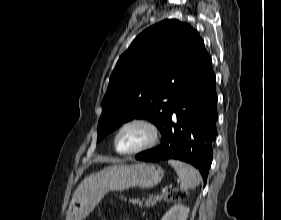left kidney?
Masks as SVG:
<instances>
[{
  "instance_id": "5707ae66",
  "label": "left kidney",
  "mask_w": 281,
  "mask_h": 220,
  "mask_svg": "<svg viewBox=\"0 0 281 220\" xmlns=\"http://www.w3.org/2000/svg\"><path fill=\"white\" fill-rule=\"evenodd\" d=\"M189 207L177 204L172 206L162 217L161 220H187Z\"/></svg>"
}]
</instances>
